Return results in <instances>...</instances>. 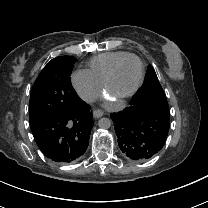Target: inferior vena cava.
Here are the masks:
<instances>
[{
  "label": "inferior vena cava",
  "mask_w": 208,
  "mask_h": 208,
  "mask_svg": "<svg viewBox=\"0 0 208 208\" xmlns=\"http://www.w3.org/2000/svg\"><path fill=\"white\" fill-rule=\"evenodd\" d=\"M80 98L87 103H90L94 100V95L91 92H84L80 94Z\"/></svg>",
  "instance_id": "inferior-vena-cava-1"
}]
</instances>
